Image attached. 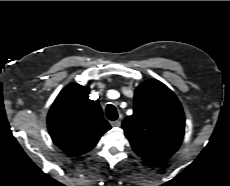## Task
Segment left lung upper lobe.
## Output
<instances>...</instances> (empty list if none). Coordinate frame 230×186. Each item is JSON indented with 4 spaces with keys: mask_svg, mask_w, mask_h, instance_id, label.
<instances>
[{
    "mask_svg": "<svg viewBox=\"0 0 230 186\" xmlns=\"http://www.w3.org/2000/svg\"><path fill=\"white\" fill-rule=\"evenodd\" d=\"M184 127V113L177 97L154 79L137 87L134 113L122 123L133 150L147 163L175 153L183 140Z\"/></svg>",
    "mask_w": 230,
    "mask_h": 186,
    "instance_id": "1",
    "label": "left lung upper lobe"
}]
</instances>
